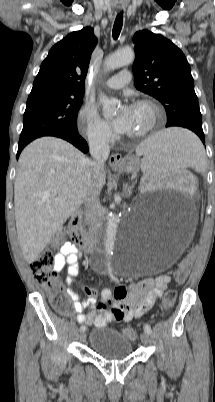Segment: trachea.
<instances>
[{"mask_svg": "<svg viewBox=\"0 0 215 402\" xmlns=\"http://www.w3.org/2000/svg\"><path fill=\"white\" fill-rule=\"evenodd\" d=\"M122 25H123V12L121 11L120 13L117 14L113 25L112 35L115 40L118 39L120 35Z\"/></svg>", "mask_w": 215, "mask_h": 402, "instance_id": "trachea-1", "label": "trachea"}]
</instances>
